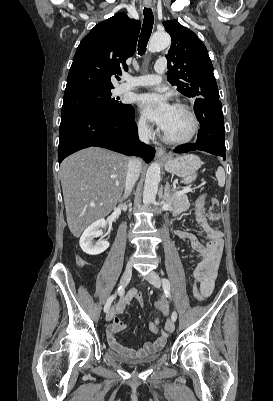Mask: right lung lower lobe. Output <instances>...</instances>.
<instances>
[{"instance_id": "right-lung-lower-lobe-1", "label": "right lung lower lobe", "mask_w": 273, "mask_h": 401, "mask_svg": "<svg viewBox=\"0 0 273 401\" xmlns=\"http://www.w3.org/2000/svg\"><path fill=\"white\" fill-rule=\"evenodd\" d=\"M58 161L90 146L104 147L126 155L142 157L150 162L155 150L138 140L134 109L113 116L98 112H77L61 117Z\"/></svg>"}]
</instances>
